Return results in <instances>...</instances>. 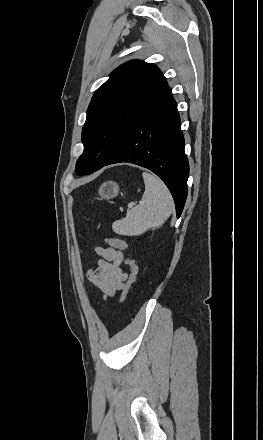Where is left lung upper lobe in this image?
<instances>
[{
	"label": "left lung upper lobe",
	"mask_w": 263,
	"mask_h": 440,
	"mask_svg": "<svg viewBox=\"0 0 263 440\" xmlns=\"http://www.w3.org/2000/svg\"><path fill=\"white\" fill-rule=\"evenodd\" d=\"M166 82L154 65L132 60L112 72L96 90L82 130L84 151L76 163L78 175L100 169L116 153L132 121Z\"/></svg>",
	"instance_id": "1"
}]
</instances>
